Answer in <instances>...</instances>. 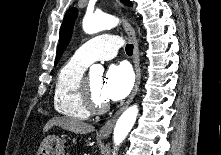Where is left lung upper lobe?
Here are the masks:
<instances>
[{
	"label": "left lung upper lobe",
	"mask_w": 221,
	"mask_h": 155,
	"mask_svg": "<svg viewBox=\"0 0 221 155\" xmlns=\"http://www.w3.org/2000/svg\"><path fill=\"white\" fill-rule=\"evenodd\" d=\"M122 2L128 6H132V3L129 0H122ZM77 17V9L71 8L69 9L64 17L61 30H60V42L57 49L56 63L62 56L63 51L69 44V41L72 36V30L74 25V20Z\"/></svg>",
	"instance_id": "obj_1"
}]
</instances>
